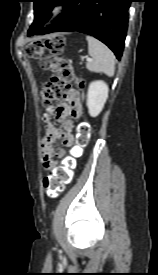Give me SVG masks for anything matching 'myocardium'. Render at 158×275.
Returning a JSON list of instances; mask_svg holds the SVG:
<instances>
[{"label": "myocardium", "mask_w": 158, "mask_h": 275, "mask_svg": "<svg viewBox=\"0 0 158 275\" xmlns=\"http://www.w3.org/2000/svg\"><path fill=\"white\" fill-rule=\"evenodd\" d=\"M65 11V5L63 3H54L50 8H49V14L51 16H58L62 14Z\"/></svg>", "instance_id": "myocardium-1"}]
</instances>
